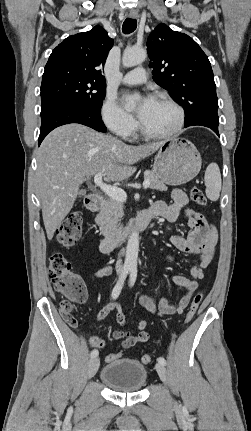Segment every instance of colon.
<instances>
[{
  "label": "colon",
  "mask_w": 251,
  "mask_h": 431,
  "mask_svg": "<svg viewBox=\"0 0 251 431\" xmlns=\"http://www.w3.org/2000/svg\"><path fill=\"white\" fill-rule=\"evenodd\" d=\"M190 197L193 202L199 206H206L207 200L203 191L198 187H193L190 190ZM82 232V216L79 211L70 213L57 229V240L65 246L71 247L75 245L81 237ZM49 276L56 290L68 299L60 303L59 311L62 318L71 327H76L77 321L71 315L72 302L83 303L86 300V289L83 281L73 271L70 261L61 253L55 252L49 257ZM202 293H198L185 316V321L189 323L195 316L197 309L202 300ZM91 351L104 350V341L98 336H92L88 339ZM119 353H108L104 363L110 366L113 362H117ZM144 364L151 362L152 357L145 354L141 358Z\"/></svg>",
  "instance_id": "obj_1"
}]
</instances>
